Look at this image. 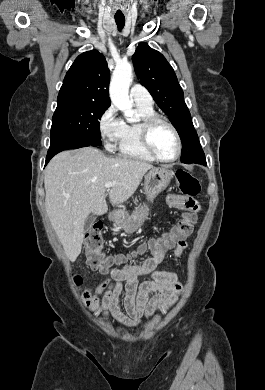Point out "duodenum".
<instances>
[{"label":"duodenum","instance_id":"1","mask_svg":"<svg viewBox=\"0 0 265 390\" xmlns=\"http://www.w3.org/2000/svg\"><path fill=\"white\" fill-rule=\"evenodd\" d=\"M108 218L111 222H117L119 220V214L116 212H111L109 213Z\"/></svg>","mask_w":265,"mask_h":390}]
</instances>
